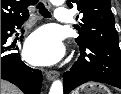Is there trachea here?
Here are the masks:
<instances>
[{
	"mask_svg": "<svg viewBox=\"0 0 121 94\" xmlns=\"http://www.w3.org/2000/svg\"><path fill=\"white\" fill-rule=\"evenodd\" d=\"M37 9H38L39 13H40L43 17H45V18H50V17H51L50 12L45 8V6H44L43 3L40 2V3L37 5Z\"/></svg>",
	"mask_w": 121,
	"mask_h": 94,
	"instance_id": "3493384b",
	"label": "trachea"
}]
</instances>
